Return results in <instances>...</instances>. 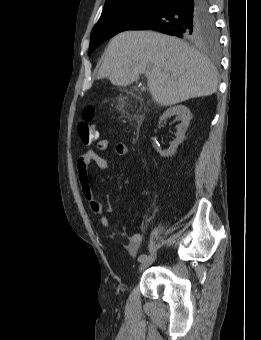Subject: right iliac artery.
Masks as SVG:
<instances>
[{
	"label": "right iliac artery",
	"mask_w": 261,
	"mask_h": 340,
	"mask_svg": "<svg viewBox=\"0 0 261 340\" xmlns=\"http://www.w3.org/2000/svg\"><path fill=\"white\" fill-rule=\"evenodd\" d=\"M147 259V255L146 254H142L138 257V261L139 262H144Z\"/></svg>",
	"instance_id": "right-iliac-artery-1"
}]
</instances>
